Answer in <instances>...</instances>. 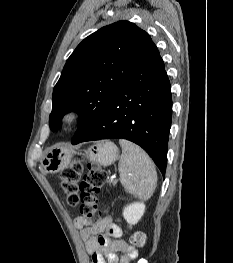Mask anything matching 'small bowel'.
I'll use <instances>...</instances> for the list:
<instances>
[{"instance_id":"1","label":"small bowel","mask_w":233,"mask_h":263,"mask_svg":"<svg viewBox=\"0 0 233 263\" xmlns=\"http://www.w3.org/2000/svg\"><path fill=\"white\" fill-rule=\"evenodd\" d=\"M74 226L81 232L91 263H130L138 256L136 249L122 239L121 228L108 215L92 225L78 216Z\"/></svg>"}]
</instances>
